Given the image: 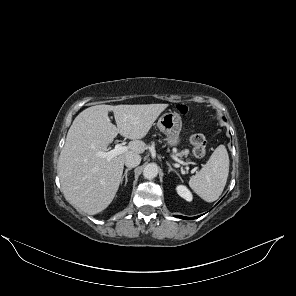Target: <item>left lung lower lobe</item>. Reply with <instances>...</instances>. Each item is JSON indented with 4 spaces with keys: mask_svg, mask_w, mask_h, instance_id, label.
<instances>
[{
    "mask_svg": "<svg viewBox=\"0 0 296 296\" xmlns=\"http://www.w3.org/2000/svg\"><path fill=\"white\" fill-rule=\"evenodd\" d=\"M176 217H179V218H182V219H195V218H198L200 216H197V217H184V216L177 215Z\"/></svg>",
    "mask_w": 296,
    "mask_h": 296,
    "instance_id": "0a47b994",
    "label": "left lung lower lobe"
}]
</instances>
